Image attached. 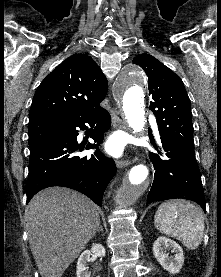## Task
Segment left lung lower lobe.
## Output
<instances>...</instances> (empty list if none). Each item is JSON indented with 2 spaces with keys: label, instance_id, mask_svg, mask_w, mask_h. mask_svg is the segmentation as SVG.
<instances>
[{
  "label": "left lung lower lobe",
  "instance_id": "0a47b994",
  "mask_svg": "<svg viewBox=\"0 0 221 277\" xmlns=\"http://www.w3.org/2000/svg\"><path fill=\"white\" fill-rule=\"evenodd\" d=\"M160 149L163 152L158 150L159 155L150 154L155 174L147 204L183 198L197 202L206 211L201 174L195 154L164 137H161Z\"/></svg>",
  "mask_w": 221,
  "mask_h": 277
}]
</instances>
